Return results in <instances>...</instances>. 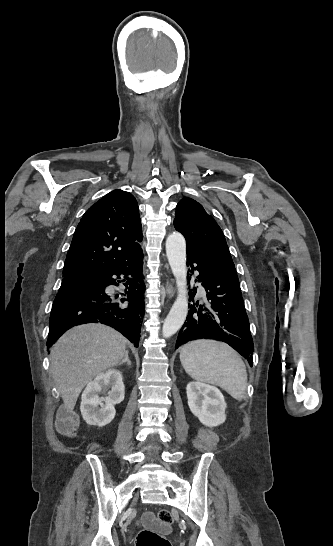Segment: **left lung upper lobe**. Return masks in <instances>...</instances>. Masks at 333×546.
Wrapping results in <instances>:
<instances>
[{
  "label": "left lung upper lobe",
  "mask_w": 333,
  "mask_h": 546,
  "mask_svg": "<svg viewBox=\"0 0 333 546\" xmlns=\"http://www.w3.org/2000/svg\"><path fill=\"white\" fill-rule=\"evenodd\" d=\"M174 227L197 254L214 264L235 267L221 228L200 203L183 198L176 207Z\"/></svg>",
  "instance_id": "5c2ea615"
}]
</instances>
